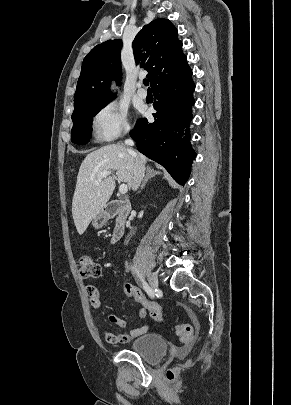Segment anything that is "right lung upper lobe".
I'll list each match as a JSON object with an SVG mask.
<instances>
[{
    "instance_id": "obj_1",
    "label": "right lung upper lobe",
    "mask_w": 291,
    "mask_h": 405,
    "mask_svg": "<svg viewBox=\"0 0 291 405\" xmlns=\"http://www.w3.org/2000/svg\"><path fill=\"white\" fill-rule=\"evenodd\" d=\"M177 29L164 18L155 19L136 35L132 47L135 62L148 71L152 89L162 81L179 77L191 70L182 52ZM122 41L108 40L95 46L84 58L74 95V111L108 103L110 81L121 80Z\"/></svg>"
}]
</instances>
